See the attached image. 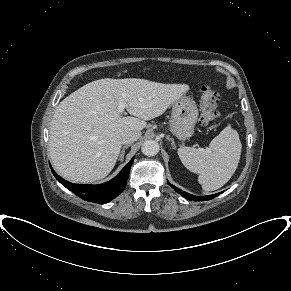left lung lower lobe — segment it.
Masks as SVG:
<instances>
[{"instance_id":"obj_1","label":"left lung lower lobe","mask_w":291,"mask_h":291,"mask_svg":"<svg viewBox=\"0 0 291 291\" xmlns=\"http://www.w3.org/2000/svg\"><path fill=\"white\" fill-rule=\"evenodd\" d=\"M169 183V182H168ZM169 185L180 195H182L183 197H185L188 200H194V201H207L210 199L215 198L216 196H218L220 193L214 194V195H207V196H193L192 194L189 193H185L182 190H180L179 188L173 186L172 184L169 183Z\"/></svg>"}]
</instances>
